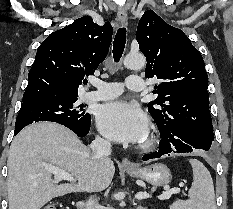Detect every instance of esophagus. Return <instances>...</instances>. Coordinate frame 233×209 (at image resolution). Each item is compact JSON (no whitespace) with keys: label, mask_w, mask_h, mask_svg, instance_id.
I'll return each mask as SVG.
<instances>
[{"label":"esophagus","mask_w":233,"mask_h":209,"mask_svg":"<svg viewBox=\"0 0 233 209\" xmlns=\"http://www.w3.org/2000/svg\"><path fill=\"white\" fill-rule=\"evenodd\" d=\"M117 15L121 25L126 26L128 24V16L125 9L119 8ZM122 166L126 168H135V165L131 163L130 160H128L127 158L122 159Z\"/></svg>","instance_id":"1"}]
</instances>
